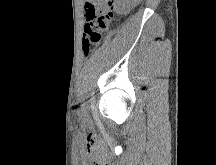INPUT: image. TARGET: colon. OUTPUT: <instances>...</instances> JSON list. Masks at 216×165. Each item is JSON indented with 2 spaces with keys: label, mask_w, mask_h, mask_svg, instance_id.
Here are the masks:
<instances>
[{
  "label": "colon",
  "mask_w": 216,
  "mask_h": 165,
  "mask_svg": "<svg viewBox=\"0 0 216 165\" xmlns=\"http://www.w3.org/2000/svg\"><path fill=\"white\" fill-rule=\"evenodd\" d=\"M120 0H109L110 10L99 14L95 10H86L82 50L85 56L90 55L99 44L103 34L109 28L114 14L117 12Z\"/></svg>",
  "instance_id": "1"
}]
</instances>
